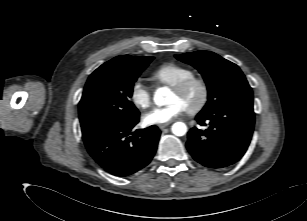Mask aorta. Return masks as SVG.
<instances>
[{
	"label": "aorta",
	"mask_w": 307,
	"mask_h": 221,
	"mask_svg": "<svg viewBox=\"0 0 307 221\" xmlns=\"http://www.w3.org/2000/svg\"><path fill=\"white\" fill-rule=\"evenodd\" d=\"M167 87H160L154 93V103L157 106H164L167 104L165 96L168 94ZM187 132V126L183 122H176L172 125V133L176 136H183Z\"/></svg>",
	"instance_id": "762f6f07"
}]
</instances>
